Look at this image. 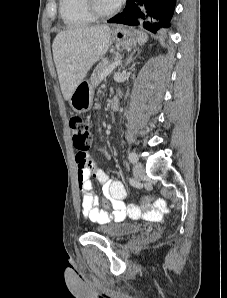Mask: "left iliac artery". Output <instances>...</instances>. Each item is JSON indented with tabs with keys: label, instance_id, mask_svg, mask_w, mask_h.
Listing matches in <instances>:
<instances>
[{
	"label": "left iliac artery",
	"instance_id": "left-iliac-artery-1",
	"mask_svg": "<svg viewBox=\"0 0 227 298\" xmlns=\"http://www.w3.org/2000/svg\"><path fill=\"white\" fill-rule=\"evenodd\" d=\"M128 159L130 160L131 163H135V162H137V160H138V156H137L136 153L131 152V153H129V155H128Z\"/></svg>",
	"mask_w": 227,
	"mask_h": 298
}]
</instances>
